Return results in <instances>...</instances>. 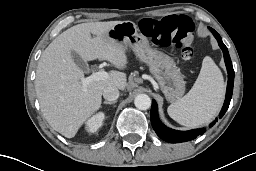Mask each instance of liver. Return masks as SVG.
<instances>
[{
    "label": "liver",
    "instance_id": "6515ba94",
    "mask_svg": "<svg viewBox=\"0 0 256 171\" xmlns=\"http://www.w3.org/2000/svg\"><path fill=\"white\" fill-rule=\"evenodd\" d=\"M120 22L75 25L58 35L39 59L35 89L41 111L49 125L67 138L74 137L81 125L100 108L106 87L124 90L127 85L125 73L112 71L108 79L89 83L84 92L83 71L71 56L74 51L84 61L107 60L116 68L125 69L128 63L125 48L106 37L107 31Z\"/></svg>",
    "mask_w": 256,
    "mask_h": 171
}]
</instances>
